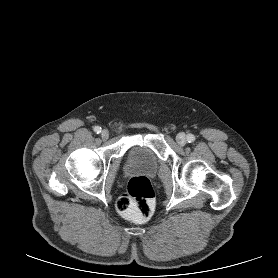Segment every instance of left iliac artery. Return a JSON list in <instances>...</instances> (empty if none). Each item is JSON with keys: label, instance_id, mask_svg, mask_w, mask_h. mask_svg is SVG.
Instances as JSON below:
<instances>
[{"label": "left iliac artery", "instance_id": "44dca946", "mask_svg": "<svg viewBox=\"0 0 278 278\" xmlns=\"http://www.w3.org/2000/svg\"><path fill=\"white\" fill-rule=\"evenodd\" d=\"M187 141H188L189 143L194 142V141H195V136H194L193 134H189V135L187 136Z\"/></svg>", "mask_w": 278, "mask_h": 278}]
</instances>
